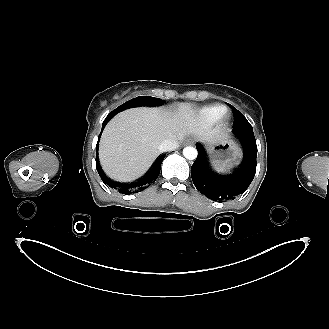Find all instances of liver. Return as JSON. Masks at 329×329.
Wrapping results in <instances>:
<instances>
[{
    "label": "liver",
    "instance_id": "obj_1",
    "mask_svg": "<svg viewBox=\"0 0 329 329\" xmlns=\"http://www.w3.org/2000/svg\"><path fill=\"white\" fill-rule=\"evenodd\" d=\"M188 134L198 141L217 143L226 134L201 127L196 112L187 104L177 111L138 108L116 115L104 129L99 158L112 179L126 182L141 176L161 153L159 145L167 139L180 142Z\"/></svg>",
    "mask_w": 329,
    "mask_h": 329
}]
</instances>
